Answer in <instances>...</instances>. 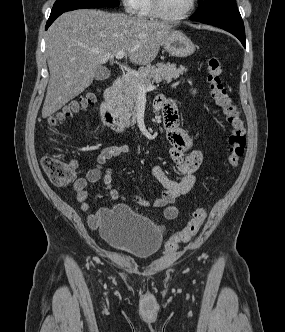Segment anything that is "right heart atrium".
<instances>
[{"label": "right heart atrium", "mask_w": 285, "mask_h": 332, "mask_svg": "<svg viewBox=\"0 0 285 332\" xmlns=\"http://www.w3.org/2000/svg\"><path fill=\"white\" fill-rule=\"evenodd\" d=\"M127 13L134 14L138 10L139 0H121Z\"/></svg>", "instance_id": "1"}]
</instances>
